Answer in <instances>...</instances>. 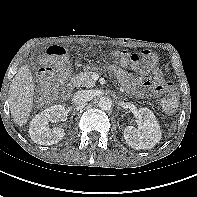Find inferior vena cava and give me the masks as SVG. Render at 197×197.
<instances>
[{
  "label": "inferior vena cava",
  "instance_id": "1",
  "mask_svg": "<svg viewBox=\"0 0 197 197\" xmlns=\"http://www.w3.org/2000/svg\"><path fill=\"white\" fill-rule=\"evenodd\" d=\"M91 97L88 93V91L86 90H81V91H77L76 93H74L73 98H72V102L75 105H82L85 104L86 102L90 101Z\"/></svg>",
  "mask_w": 197,
  "mask_h": 197
}]
</instances>
